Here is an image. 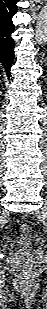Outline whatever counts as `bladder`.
Masks as SVG:
<instances>
[{
    "label": "bladder",
    "instance_id": "31cf9c89",
    "mask_svg": "<svg viewBox=\"0 0 47 309\" xmlns=\"http://www.w3.org/2000/svg\"><path fill=\"white\" fill-rule=\"evenodd\" d=\"M20 244L22 246H31L33 244V241L29 238H21Z\"/></svg>",
    "mask_w": 47,
    "mask_h": 309
}]
</instances>
